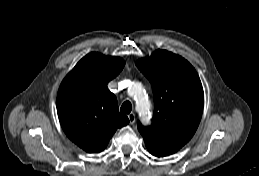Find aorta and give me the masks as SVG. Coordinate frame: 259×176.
<instances>
[{"mask_svg": "<svg viewBox=\"0 0 259 176\" xmlns=\"http://www.w3.org/2000/svg\"><path fill=\"white\" fill-rule=\"evenodd\" d=\"M137 94L139 95L136 101V108L139 110L141 115H145L149 109H150V101L146 97L145 94H143L142 89H137Z\"/></svg>", "mask_w": 259, "mask_h": 176, "instance_id": "762f6f07", "label": "aorta"}]
</instances>
